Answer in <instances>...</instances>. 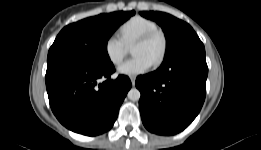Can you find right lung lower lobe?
Segmentation results:
<instances>
[{
    "label": "right lung lower lobe",
    "instance_id": "98d812e1",
    "mask_svg": "<svg viewBox=\"0 0 261 150\" xmlns=\"http://www.w3.org/2000/svg\"><path fill=\"white\" fill-rule=\"evenodd\" d=\"M112 62L85 65L75 62L47 64L46 88L54 115L73 132L95 136L114 124L119 108L131 88L127 76L115 80ZM101 78H107L99 83Z\"/></svg>",
    "mask_w": 261,
    "mask_h": 150
}]
</instances>
